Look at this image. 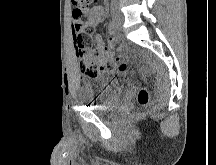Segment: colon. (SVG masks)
<instances>
[{
  "label": "colon",
  "instance_id": "obj_1",
  "mask_svg": "<svg viewBox=\"0 0 216 165\" xmlns=\"http://www.w3.org/2000/svg\"><path fill=\"white\" fill-rule=\"evenodd\" d=\"M98 0H72L75 8H81V13L92 7ZM76 56L78 59L79 73L86 79H95L103 71L113 67V62L122 73L128 71V64L119 56H113L110 46L105 52H99L94 48V27H85L74 39ZM140 105H146L149 101L147 89L141 88L137 94Z\"/></svg>",
  "mask_w": 216,
  "mask_h": 165
}]
</instances>
